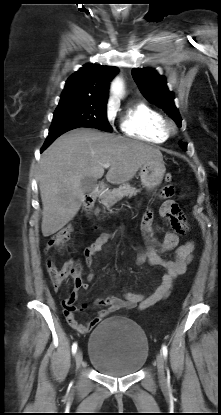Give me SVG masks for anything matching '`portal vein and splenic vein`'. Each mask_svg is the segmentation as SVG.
I'll use <instances>...</instances> for the list:
<instances>
[{
    "mask_svg": "<svg viewBox=\"0 0 221 415\" xmlns=\"http://www.w3.org/2000/svg\"><path fill=\"white\" fill-rule=\"evenodd\" d=\"M110 165H111V164H110L109 162H106V163H103V164H102V166H103V167H105V168H109V167H110Z\"/></svg>",
    "mask_w": 221,
    "mask_h": 415,
    "instance_id": "18ae733b",
    "label": "portal vein and splenic vein"
}]
</instances>
